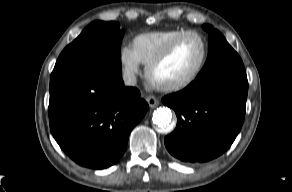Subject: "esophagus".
<instances>
[{
  "instance_id": "esophagus-1",
  "label": "esophagus",
  "mask_w": 292,
  "mask_h": 192,
  "mask_svg": "<svg viewBox=\"0 0 292 192\" xmlns=\"http://www.w3.org/2000/svg\"><path fill=\"white\" fill-rule=\"evenodd\" d=\"M146 101L151 108H155L159 105V100L155 96H148Z\"/></svg>"
}]
</instances>
